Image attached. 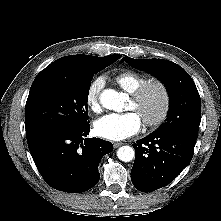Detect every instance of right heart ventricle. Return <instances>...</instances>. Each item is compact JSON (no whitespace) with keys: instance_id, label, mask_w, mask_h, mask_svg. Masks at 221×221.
I'll return each mask as SVG.
<instances>
[{"instance_id":"1","label":"right heart ventricle","mask_w":221,"mask_h":221,"mask_svg":"<svg viewBox=\"0 0 221 221\" xmlns=\"http://www.w3.org/2000/svg\"><path fill=\"white\" fill-rule=\"evenodd\" d=\"M147 80V76L133 70L123 71L115 77V82L117 83V85L129 94H132L140 85L145 83Z\"/></svg>"}]
</instances>
